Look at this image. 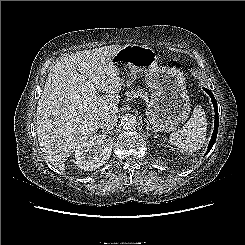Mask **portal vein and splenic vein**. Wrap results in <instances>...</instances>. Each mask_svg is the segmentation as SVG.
<instances>
[{
	"mask_svg": "<svg viewBox=\"0 0 245 245\" xmlns=\"http://www.w3.org/2000/svg\"><path fill=\"white\" fill-rule=\"evenodd\" d=\"M82 78L83 81H85L88 85V87L92 90V91H95V85L93 83H91L90 81L86 80L84 78V76H80Z\"/></svg>",
	"mask_w": 245,
	"mask_h": 245,
	"instance_id": "18ae733b",
	"label": "portal vein and splenic vein"
}]
</instances>
